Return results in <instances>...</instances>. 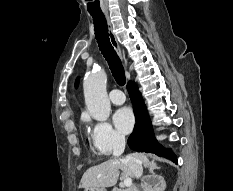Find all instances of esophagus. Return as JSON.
<instances>
[{
	"label": "esophagus",
	"mask_w": 233,
	"mask_h": 191,
	"mask_svg": "<svg viewBox=\"0 0 233 191\" xmlns=\"http://www.w3.org/2000/svg\"><path fill=\"white\" fill-rule=\"evenodd\" d=\"M106 20H107V23H108V32H109L110 42H111L112 46L114 47V49L116 50V52L119 55H121V50H120L118 41L116 39V36L114 34V31H113V28H112V25H111V22H110V18H109L108 15H106Z\"/></svg>",
	"instance_id": "1"
}]
</instances>
